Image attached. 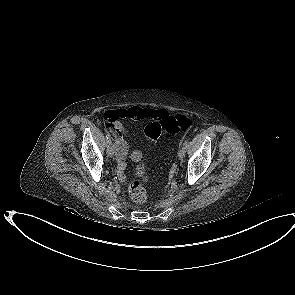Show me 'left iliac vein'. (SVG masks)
<instances>
[{
	"label": "left iliac vein",
	"mask_w": 295,
	"mask_h": 295,
	"mask_svg": "<svg viewBox=\"0 0 295 295\" xmlns=\"http://www.w3.org/2000/svg\"><path fill=\"white\" fill-rule=\"evenodd\" d=\"M185 153H186V147L185 146H182L180 148V150L178 151V158H179V160H183L184 159Z\"/></svg>",
	"instance_id": "1"
}]
</instances>
